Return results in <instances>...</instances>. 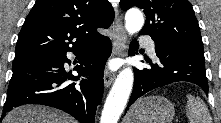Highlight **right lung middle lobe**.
Masks as SVG:
<instances>
[{"mask_svg":"<svg viewBox=\"0 0 221 123\" xmlns=\"http://www.w3.org/2000/svg\"><path fill=\"white\" fill-rule=\"evenodd\" d=\"M45 55H51V54L15 56V58H14V60H13V64L19 63V62H22V61H26V60H29V59H33V58L42 57V56H45Z\"/></svg>","mask_w":221,"mask_h":123,"instance_id":"dd1d6c3e","label":"right lung middle lobe"}]
</instances>
